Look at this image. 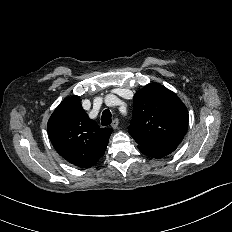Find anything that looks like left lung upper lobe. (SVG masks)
Returning a JSON list of instances; mask_svg holds the SVG:
<instances>
[{"label": "left lung upper lobe", "mask_w": 232, "mask_h": 232, "mask_svg": "<svg viewBox=\"0 0 232 232\" xmlns=\"http://www.w3.org/2000/svg\"><path fill=\"white\" fill-rule=\"evenodd\" d=\"M188 111L172 91L155 83L134 96L129 134L142 147L178 146L188 127Z\"/></svg>", "instance_id": "left-lung-upper-lobe-1"}]
</instances>
